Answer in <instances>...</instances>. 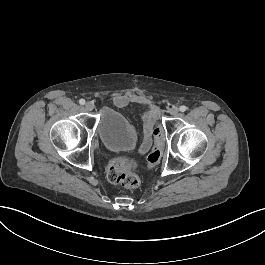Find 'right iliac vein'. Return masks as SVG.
Masks as SVG:
<instances>
[{
  "mask_svg": "<svg viewBox=\"0 0 265 265\" xmlns=\"http://www.w3.org/2000/svg\"><path fill=\"white\" fill-rule=\"evenodd\" d=\"M85 109L87 110V111H92L93 109H94V104L92 103V102H87L86 104H85Z\"/></svg>",
  "mask_w": 265,
  "mask_h": 265,
  "instance_id": "obj_1",
  "label": "right iliac vein"
}]
</instances>
